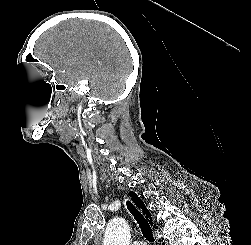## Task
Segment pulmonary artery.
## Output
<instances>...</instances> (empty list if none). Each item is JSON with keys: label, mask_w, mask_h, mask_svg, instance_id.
<instances>
[{"label": "pulmonary artery", "mask_w": 251, "mask_h": 245, "mask_svg": "<svg viewBox=\"0 0 251 245\" xmlns=\"http://www.w3.org/2000/svg\"><path fill=\"white\" fill-rule=\"evenodd\" d=\"M132 245H147V243L144 241H135V242H133Z\"/></svg>", "instance_id": "pulmonary-artery-1"}]
</instances>
